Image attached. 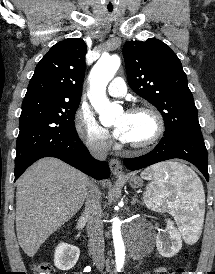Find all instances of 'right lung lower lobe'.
Segmentation results:
<instances>
[{
  "mask_svg": "<svg viewBox=\"0 0 215 274\" xmlns=\"http://www.w3.org/2000/svg\"><path fill=\"white\" fill-rule=\"evenodd\" d=\"M43 157L59 158L97 180L110 176V169L107 162L95 160L77 136L74 139L65 140L44 148L31 156L22 165L15 167V180L18 179L32 163Z\"/></svg>",
  "mask_w": 215,
  "mask_h": 274,
  "instance_id": "obj_1",
  "label": "right lung lower lobe"
}]
</instances>
